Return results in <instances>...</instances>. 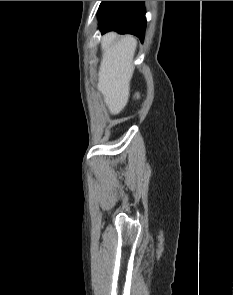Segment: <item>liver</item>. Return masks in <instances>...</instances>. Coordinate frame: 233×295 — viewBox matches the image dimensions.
<instances>
[{"label":"liver","mask_w":233,"mask_h":295,"mask_svg":"<svg viewBox=\"0 0 233 295\" xmlns=\"http://www.w3.org/2000/svg\"><path fill=\"white\" fill-rule=\"evenodd\" d=\"M136 47L137 40L133 36L119 38L114 32L104 35L101 41L103 54L97 87L114 115L120 113L129 99Z\"/></svg>","instance_id":"6515ba94"}]
</instances>
